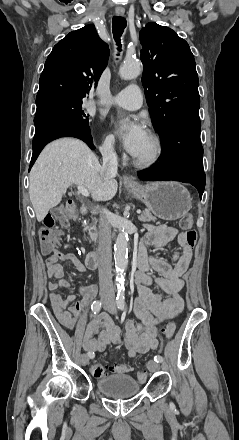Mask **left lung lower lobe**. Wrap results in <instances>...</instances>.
I'll return each mask as SVG.
<instances>
[{"mask_svg":"<svg viewBox=\"0 0 239 440\" xmlns=\"http://www.w3.org/2000/svg\"><path fill=\"white\" fill-rule=\"evenodd\" d=\"M200 119L185 118L171 123L160 136L163 151L159 163L151 170L139 172L143 180H174L195 186L202 198L206 176L203 170V148Z\"/></svg>","mask_w":239,"mask_h":440,"instance_id":"obj_1","label":"left lung lower lobe"}]
</instances>
